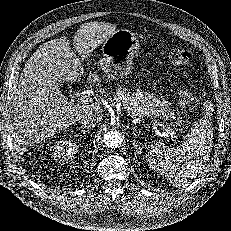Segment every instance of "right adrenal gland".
Listing matches in <instances>:
<instances>
[{"mask_svg":"<svg viewBox=\"0 0 231 231\" xmlns=\"http://www.w3.org/2000/svg\"><path fill=\"white\" fill-rule=\"evenodd\" d=\"M78 130L83 132V134L89 133V130H85L83 127H79Z\"/></svg>","mask_w":231,"mask_h":231,"instance_id":"1","label":"right adrenal gland"}]
</instances>
